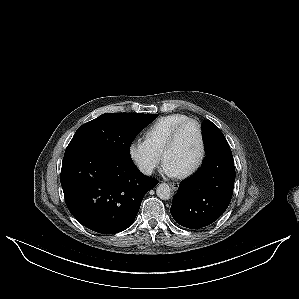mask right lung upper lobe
Wrapping results in <instances>:
<instances>
[{"label": "right lung upper lobe", "instance_id": "1", "mask_svg": "<svg viewBox=\"0 0 299 299\" xmlns=\"http://www.w3.org/2000/svg\"><path fill=\"white\" fill-rule=\"evenodd\" d=\"M130 114V113H128ZM131 115H137V116H142V117H146V118H156L158 116V114H150V115H147V114H143V113H137V114H131Z\"/></svg>", "mask_w": 299, "mask_h": 299}]
</instances>
